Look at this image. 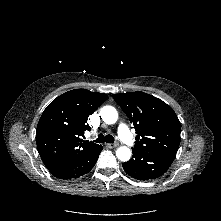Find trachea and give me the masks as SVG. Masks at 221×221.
Listing matches in <instances>:
<instances>
[{"label": "trachea", "mask_w": 221, "mask_h": 221, "mask_svg": "<svg viewBox=\"0 0 221 221\" xmlns=\"http://www.w3.org/2000/svg\"><path fill=\"white\" fill-rule=\"evenodd\" d=\"M94 142L96 143H114V137L110 134L104 136L103 134H99L98 138L96 140H94Z\"/></svg>", "instance_id": "obj_1"}]
</instances>
